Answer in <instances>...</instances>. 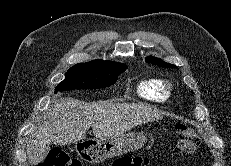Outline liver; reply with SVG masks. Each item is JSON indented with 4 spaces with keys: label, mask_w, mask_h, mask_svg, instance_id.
<instances>
[{
    "label": "liver",
    "mask_w": 231,
    "mask_h": 166,
    "mask_svg": "<svg viewBox=\"0 0 231 166\" xmlns=\"http://www.w3.org/2000/svg\"><path fill=\"white\" fill-rule=\"evenodd\" d=\"M162 112L148 104L97 102L84 103L73 98H61L50 108L42 125L29 137L28 162H42L50 144L67 145L86 138L91 127L100 140L116 139L133 127L159 120Z\"/></svg>",
    "instance_id": "liver-1"
}]
</instances>
